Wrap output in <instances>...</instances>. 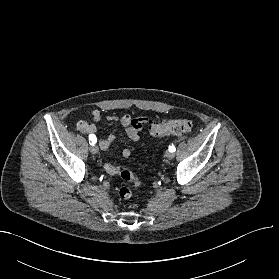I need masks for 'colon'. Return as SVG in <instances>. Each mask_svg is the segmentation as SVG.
<instances>
[{"instance_id":"1","label":"colon","mask_w":279,"mask_h":279,"mask_svg":"<svg viewBox=\"0 0 279 279\" xmlns=\"http://www.w3.org/2000/svg\"><path fill=\"white\" fill-rule=\"evenodd\" d=\"M192 129L193 123L188 119H174L165 122H149V133L154 137L186 134ZM120 176L125 182L130 183L131 186H122L119 189V196L121 199H129L133 195V192L142 186V181L128 168L123 169Z\"/></svg>"}]
</instances>
